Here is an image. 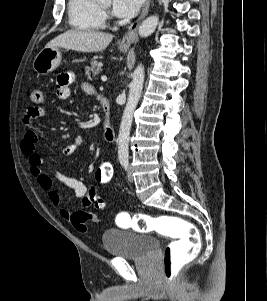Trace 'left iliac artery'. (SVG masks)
<instances>
[{"instance_id":"obj_1","label":"left iliac artery","mask_w":267,"mask_h":301,"mask_svg":"<svg viewBox=\"0 0 267 301\" xmlns=\"http://www.w3.org/2000/svg\"><path fill=\"white\" fill-rule=\"evenodd\" d=\"M122 165H123L124 168L127 170V168H128V162H127V161H124V162L122 163Z\"/></svg>"}]
</instances>
